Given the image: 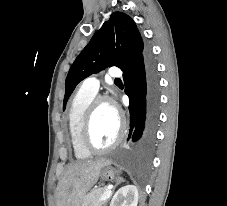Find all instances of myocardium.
<instances>
[{"label":"myocardium","mask_w":227,"mask_h":206,"mask_svg":"<svg viewBox=\"0 0 227 206\" xmlns=\"http://www.w3.org/2000/svg\"><path fill=\"white\" fill-rule=\"evenodd\" d=\"M104 103H108L113 106V102L109 97L103 96V95L95 96V98L90 102V104L88 105V107L84 112L82 122H81V127H80L81 145L85 150L94 154H101L114 149L119 145L124 134V121L122 116L117 111L119 127H118L117 136L114 139V141L106 147H97L93 143L92 137H91V131H92L94 115L96 113L97 108Z\"/></svg>","instance_id":"obj_1"}]
</instances>
